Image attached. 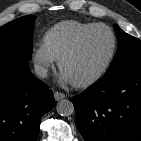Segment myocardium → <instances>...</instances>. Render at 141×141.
<instances>
[{
    "label": "myocardium",
    "instance_id": "f54148a6",
    "mask_svg": "<svg viewBox=\"0 0 141 141\" xmlns=\"http://www.w3.org/2000/svg\"><path fill=\"white\" fill-rule=\"evenodd\" d=\"M105 29L109 32L111 39H112V47L111 51L109 53L108 58L106 59L105 63L102 65V67L92 76H90L87 79L81 80V81H76V82H71V84L76 87V88H87L98 82L109 70L116 52H117V37L114 33V31L106 24L103 23H96L87 29H85L83 32H81L76 39L73 41V43L66 49V51L61 55L59 58L58 64H59V69L63 72V66L65 62L73 55L76 53V51L79 49L80 45L82 44L83 40L89 35L92 31L96 29Z\"/></svg>",
    "mask_w": 141,
    "mask_h": 141
}]
</instances>
